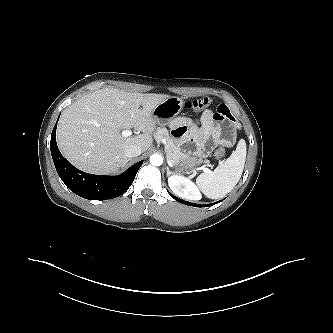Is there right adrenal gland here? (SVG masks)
Instances as JSON below:
<instances>
[{
  "mask_svg": "<svg viewBox=\"0 0 333 333\" xmlns=\"http://www.w3.org/2000/svg\"><path fill=\"white\" fill-rule=\"evenodd\" d=\"M130 160H131V159H127V160H126V163H127L128 161H130Z\"/></svg>",
  "mask_w": 333,
  "mask_h": 333,
  "instance_id": "right-adrenal-gland-1",
  "label": "right adrenal gland"
}]
</instances>
